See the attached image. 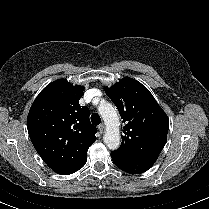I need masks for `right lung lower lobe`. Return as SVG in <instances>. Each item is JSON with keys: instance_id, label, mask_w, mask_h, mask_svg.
Instances as JSON below:
<instances>
[{"instance_id": "obj_1", "label": "right lung lower lobe", "mask_w": 209, "mask_h": 209, "mask_svg": "<svg viewBox=\"0 0 209 209\" xmlns=\"http://www.w3.org/2000/svg\"><path fill=\"white\" fill-rule=\"evenodd\" d=\"M84 165H85V164H84ZM84 165H82L80 168H82ZM80 168H79V169H80ZM79 169H78V170H79ZM75 172H76V171H75Z\"/></svg>"}]
</instances>
